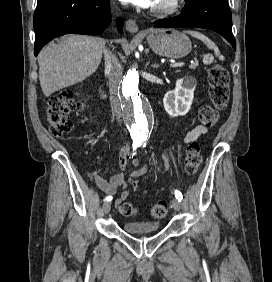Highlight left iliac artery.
<instances>
[{"label": "left iliac artery", "instance_id": "44dca946", "mask_svg": "<svg viewBox=\"0 0 272 282\" xmlns=\"http://www.w3.org/2000/svg\"><path fill=\"white\" fill-rule=\"evenodd\" d=\"M175 197H176V199H177L178 201H180V202H181V200L183 199L182 194H181L180 191H178V190L175 191Z\"/></svg>", "mask_w": 272, "mask_h": 282}]
</instances>
